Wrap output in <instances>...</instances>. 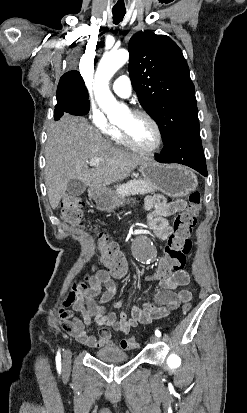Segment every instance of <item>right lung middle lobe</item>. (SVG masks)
Segmentation results:
<instances>
[{"mask_svg":"<svg viewBox=\"0 0 247 413\" xmlns=\"http://www.w3.org/2000/svg\"><path fill=\"white\" fill-rule=\"evenodd\" d=\"M89 95L84 81L59 82L57 88V101H70L78 106L83 115L90 109Z\"/></svg>","mask_w":247,"mask_h":413,"instance_id":"obj_1","label":"right lung middle lobe"}]
</instances>
